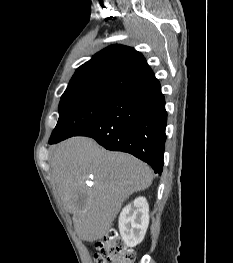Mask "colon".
Instances as JSON below:
<instances>
[{
  "label": "colon",
  "mask_w": 233,
  "mask_h": 263,
  "mask_svg": "<svg viewBox=\"0 0 233 263\" xmlns=\"http://www.w3.org/2000/svg\"><path fill=\"white\" fill-rule=\"evenodd\" d=\"M96 263H135V251L115 231H108L95 244Z\"/></svg>",
  "instance_id": "1"
}]
</instances>
